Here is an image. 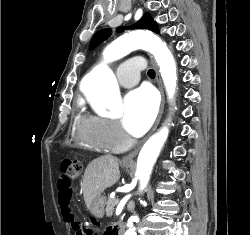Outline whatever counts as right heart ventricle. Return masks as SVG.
<instances>
[{
	"label": "right heart ventricle",
	"instance_id": "right-heart-ventricle-1",
	"mask_svg": "<svg viewBox=\"0 0 250 235\" xmlns=\"http://www.w3.org/2000/svg\"><path fill=\"white\" fill-rule=\"evenodd\" d=\"M76 137L78 142L98 152H114L117 149L108 146L100 136V118L88 113L82 104L78 105L76 115Z\"/></svg>",
	"mask_w": 250,
	"mask_h": 235
}]
</instances>
